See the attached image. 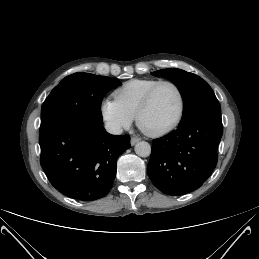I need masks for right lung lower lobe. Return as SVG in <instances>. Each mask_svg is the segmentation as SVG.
I'll return each instance as SVG.
<instances>
[{"mask_svg":"<svg viewBox=\"0 0 259 259\" xmlns=\"http://www.w3.org/2000/svg\"><path fill=\"white\" fill-rule=\"evenodd\" d=\"M40 163L51 184L80 201L104 197L129 136L111 135L100 123L61 121L40 129Z\"/></svg>","mask_w":259,"mask_h":259,"instance_id":"right-lung-lower-lobe-1","label":"right lung lower lobe"}]
</instances>
